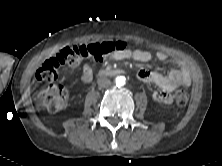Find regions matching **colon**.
Returning <instances> with one entry per match:
<instances>
[{
	"label": "colon",
	"mask_w": 222,
	"mask_h": 166,
	"mask_svg": "<svg viewBox=\"0 0 222 166\" xmlns=\"http://www.w3.org/2000/svg\"><path fill=\"white\" fill-rule=\"evenodd\" d=\"M126 48L123 42H100L88 45H75L65 47L55 56L45 60L36 71V79L49 82V86L40 91L37 102L49 112H57L64 108L68 92L65 87L55 83L60 68L64 66H76L83 60L102 61L117 51ZM189 95L184 90L175 94V102L178 107L187 104Z\"/></svg>",
	"instance_id": "1"
}]
</instances>
